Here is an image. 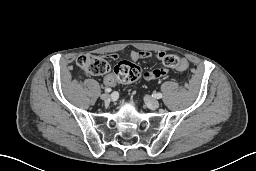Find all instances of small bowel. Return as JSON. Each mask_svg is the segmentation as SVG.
<instances>
[{
  "label": "small bowel",
  "mask_w": 256,
  "mask_h": 171,
  "mask_svg": "<svg viewBox=\"0 0 256 171\" xmlns=\"http://www.w3.org/2000/svg\"><path fill=\"white\" fill-rule=\"evenodd\" d=\"M165 56H166L165 52H159L157 54V59L162 61V59ZM109 57L112 58V59H116V58H118V54H111ZM129 57L133 61H138V60H141V59L151 58L152 54L149 53V52H146V51H131L129 53ZM183 60L185 62V65H184L183 68L178 69L179 71H184L188 67V62L185 59H183ZM167 72L168 71L165 68H157V69H154V70H151V71L144 72L143 76L146 80H158V79H161V78L165 77L167 75ZM104 84L106 86H109V87L115 86L117 84L116 75L113 74V73L107 74L104 77Z\"/></svg>",
  "instance_id": "1"
}]
</instances>
